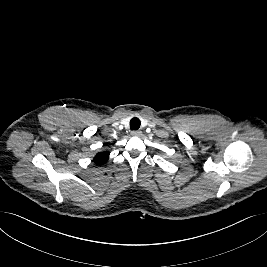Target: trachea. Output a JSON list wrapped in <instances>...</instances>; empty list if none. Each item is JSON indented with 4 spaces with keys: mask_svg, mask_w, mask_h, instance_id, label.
Segmentation results:
<instances>
[{
    "mask_svg": "<svg viewBox=\"0 0 267 267\" xmlns=\"http://www.w3.org/2000/svg\"><path fill=\"white\" fill-rule=\"evenodd\" d=\"M141 125V122L138 118L134 117L130 120V129L131 130H138Z\"/></svg>",
    "mask_w": 267,
    "mask_h": 267,
    "instance_id": "trachea-1",
    "label": "trachea"
}]
</instances>
